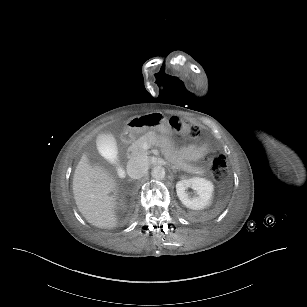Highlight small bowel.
<instances>
[{
    "mask_svg": "<svg viewBox=\"0 0 307 307\" xmlns=\"http://www.w3.org/2000/svg\"><path fill=\"white\" fill-rule=\"evenodd\" d=\"M188 151L193 158L200 159L206 155L208 147L206 144H194L189 146Z\"/></svg>",
    "mask_w": 307,
    "mask_h": 307,
    "instance_id": "1",
    "label": "small bowel"
}]
</instances>
